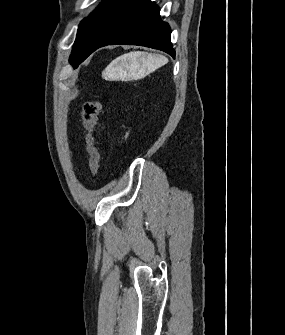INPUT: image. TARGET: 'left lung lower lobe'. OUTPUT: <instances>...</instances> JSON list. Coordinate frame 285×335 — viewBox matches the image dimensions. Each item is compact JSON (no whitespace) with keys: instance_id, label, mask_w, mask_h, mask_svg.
Wrapping results in <instances>:
<instances>
[{"instance_id":"obj_1","label":"left lung lower lobe","mask_w":285,"mask_h":335,"mask_svg":"<svg viewBox=\"0 0 285 335\" xmlns=\"http://www.w3.org/2000/svg\"><path fill=\"white\" fill-rule=\"evenodd\" d=\"M170 35L169 25L151 0H111L88 28L78 65L99 47L112 44L151 47L175 58Z\"/></svg>"}]
</instances>
